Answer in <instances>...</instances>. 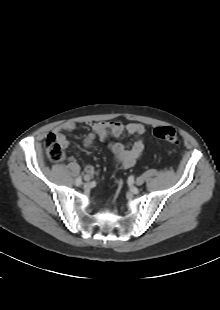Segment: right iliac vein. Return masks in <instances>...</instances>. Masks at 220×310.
<instances>
[{"label": "right iliac vein", "mask_w": 220, "mask_h": 310, "mask_svg": "<svg viewBox=\"0 0 220 310\" xmlns=\"http://www.w3.org/2000/svg\"><path fill=\"white\" fill-rule=\"evenodd\" d=\"M90 179H91L90 175H85V176H84V180H85L86 182H89Z\"/></svg>", "instance_id": "obj_1"}]
</instances>
